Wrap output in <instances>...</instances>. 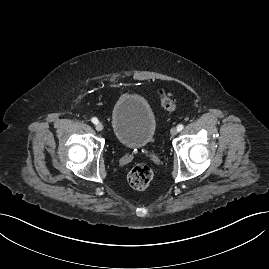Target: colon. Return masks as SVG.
<instances>
[{
	"label": "colon",
	"instance_id": "colon-1",
	"mask_svg": "<svg viewBox=\"0 0 269 269\" xmlns=\"http://www.w3.org/2000/svg\"><path fill=\"white\" fill-rule=\"evenodd\" d=\"M161 107L167 111H175L177 105L171 95L165 90L158 91ZM153 179L152 169L145 164L136 165L128 174L129 184L137 190H143L149 186Z\"/></svg>",
	"mask_w": 269,
	"mask_h": 269
}]
</instances>
